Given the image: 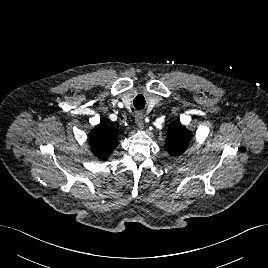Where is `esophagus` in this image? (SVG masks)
<instances>
[{
    "instance_id": "34e87169",
    "label": "esophagus",
    "mask_w": 268,
    "mask_h": 268,
    "mask_svg": "<svg viewBox=\"0 0 268 268\" xmlns=\"http://www.w3.org/2000/svg\"><path fill=\"white\" fill-rule=\"evenodd\" d=\"M135 122L140 129H144V115L141 112L135 114Z\"/></svg>"
}]
</instances>
